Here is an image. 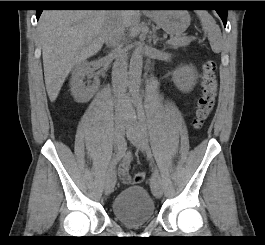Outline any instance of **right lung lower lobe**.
<instances>
[{
	"mask_svg": "<svg viewBox=\"0 0 265 245\" xmlns=\"http://www.w3.org/2000/svg\"><path fill=\"white\" fill-rule=\"evenodd\" d=\"M124 1H81L78 4L73 3H52L50 6H61V7H72V6H79V7H120L125 6ZM43 9L36 10V17L39 19Z\"/></svg>",
	"mask_w": 265,
	"mask_h": 245,
	"instance_id": "98d812e1",
	"label": "right lung lower lobe"
}]
</instances>
